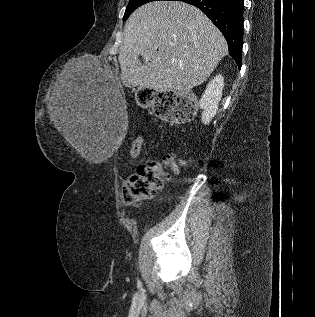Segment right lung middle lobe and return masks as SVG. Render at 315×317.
I'll list each match as a JSON object with an SVG mask.
<instances>
[{
  "label": "right lung middle lobe",
  "instance_id": "right-lung-middle-lobe-1",
  "mask_svg": "<svg viewBox=\"0 0 315 317\" xmlns=\"http://www.w3.org/2000/svg\"><path fill=\"white\" fill-rule=\"evenodd\" d=\"M152 1H158V0H129L128 6L126 8L124 17H123V21H125L130 14L139 6L148 3V2H152Z\"/></svg>",
  "mask_w": 315,
  "mask_h": 317
}]
</instances>
